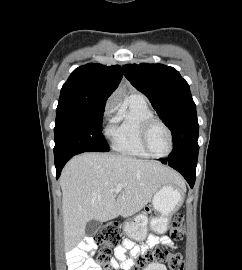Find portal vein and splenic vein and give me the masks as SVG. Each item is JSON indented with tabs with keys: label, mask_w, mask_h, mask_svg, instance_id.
<instances>
[{
	"label": "portal vein and splenic vein",
	"mask_w": 242,
	"mask_h": 270,
	"mask_svg": "<svg viewBox=\"0 0 242 270\" xmlns=\"http://www.w3.org/2000/svg\"><path fill=\"white\" fill-rule=\"evenodd\" d=\"M122 188H123V185L122 184H118L117 187L114 190H112V191L115 192V193H119L122 190Z\"/></svg>",
	"instance_id": "18ae733b"
}]
</instances>
